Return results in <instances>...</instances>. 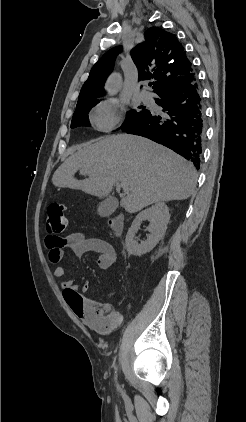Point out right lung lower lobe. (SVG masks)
Returning a JSON list of instances; mask_svg holds the SVG:
<instances>
[{
	"mask_svg": "<svg viewBox=\"0 0 246 422\" xmlns=\"http://www.w3.org/2000/svg\"><path fill=\"white\" fill-rule=\"evenodd\" d=\"M156 103L165 117L150 112L122 131L160 143L190 160L199 169L205 138V117L197 81L187 82L158 94Z\"/></svg>",
	"mask_w": 246,
	"mask_h": 422,
	"instance_id": "obj_1",
	"label": "right lung lower lobe"
}]
</instances>
